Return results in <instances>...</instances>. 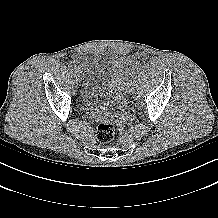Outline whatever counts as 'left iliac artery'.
I'll return each mask as SVG.
<instances>
[{"label":"left iliac artery","instance_id":"44dca946","mask_svg":"<svg viewBox=\"0 0 218 218\" xmlns=\"http://www.w3.org/2000/svg\"><path fill=\"white\" fill-rule=\"evenodd\" d=\"M135 74L132 72L131 74H130V76L128 77V88L129 87H133V85H135L136 84V77L134 76ZM127 88V89H128Z\"/></svg>","mask_w":218,"mask_h":218}]
</instances>
